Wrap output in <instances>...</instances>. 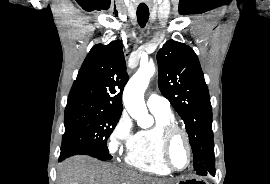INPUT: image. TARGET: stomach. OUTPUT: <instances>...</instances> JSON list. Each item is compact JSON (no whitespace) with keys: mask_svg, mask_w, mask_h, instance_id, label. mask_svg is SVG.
<instances>
[{"mask_svg":"<svg viewBox=\"0 0 270 184\" xmlns=\"http://www.w3.org/2000/svg\"><path fill=\"white\" fill-rule=\"evenodd\" d=\"M176 184H208L205 179L198 177H189L177 181Z\"/></svg>","mask_w":270,"mask_h":184,"instance_id":"obj_1","label":"stomach"}]
</instances>
